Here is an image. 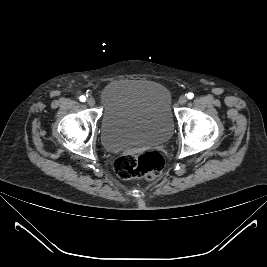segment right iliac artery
<instances>
[{
  "label": "right iliac artery",
  "instance_id": "right-iliac-artery-1",
  "mask_svg": "<svg viewBox=\"0 0 267 267\" xmlns=\"http://www.w3.org/2000/svg\"><path fill=\"white\" fill-rule=\"evenodd\" d=\"M80 100H81L82 102H84V101L86 100V97H85V96H80Z\"/></svg>",
  "mask_w": 267,
  "mask_h": 267
}]
</instances>
